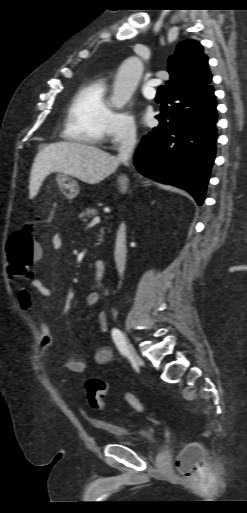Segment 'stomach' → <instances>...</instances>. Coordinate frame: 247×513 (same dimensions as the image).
I'll return each mask as SVG.
<instances>
[{
    "label": "stomach",
    "instance_id": "1",
    "mask_svg": "<svg viewBox=\"0 0 247 513\" xmlns=\"http://www.w3.org/2000/svg\"><path fill=\"white\" fill-rule=\"evenodd\" d=\"M56 181L68 198H74L79 193V185L71 175L58 173Z\"/></svg>",
    "mask_w": 247,
    "mask_h": 513
}]
</instances>
